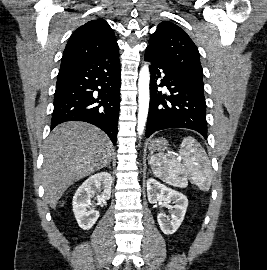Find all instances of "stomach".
I'll list each match as a JSON object with an SVG mask.
<instances>
[{"label":"stomach","mask_w":267,"mask_h":270,"mask_svg":"<svg viewBox=\"0 0 267 270\" xmlns=\"http://www.w3.org/2000/svg\"><path fill=\"white\" fill-rule=\"evenodd\" d=\"M167 146H168V142L164 138L153 139L148 143V149L151 152H154V151L162 152L167 149Z\"/></svg>","instance_id":"0dacf381"}]
</instances>
